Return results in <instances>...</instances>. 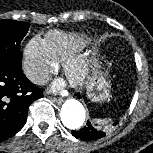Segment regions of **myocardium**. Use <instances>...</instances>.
<instances>
[{"label":"myocardium","mask_w":153,"mask_h":153,"mask_svg":"<svg viewBox=\"0 0 153 153\" xmlns=\"http://www.w3.org/2000/svg\"><path fill=\"white\" fill-rule=\"evenodd\" d=\"M63 70L72 86H82L90 73V60L84 57H73L64 63Z\"/></svg>","instance_id":"f54148a6"}]
</instances>
